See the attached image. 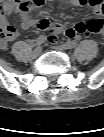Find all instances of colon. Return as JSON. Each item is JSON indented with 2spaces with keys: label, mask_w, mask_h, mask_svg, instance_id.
<instances>
[{
  "label": "colon",
  "mask_w": 104,
  "mask_h": 137,
  "mask_svg": "<svg viewBox=\"0 0 104 137\" xmlns=\"http://www.w3.org/2000/svg\"><path fill=\"white\" fill-rule=\"evenodd\" d=\"M48 36L47 39L49 42L55 44L57 43L61 37H68L71 38L73 37L77 31L74 30L73 28H63V29H57L55 27H48ZM85 29L89 32H94V33H101L103 29V21L100 18H94L91 19L90 21L86 22V27ZM13 31L12 26H8L7 28H2L1 30V41L4 40V38L9 35Z\"/></svg>",
  "instance_id": "colon-1"
}]
</instances>
